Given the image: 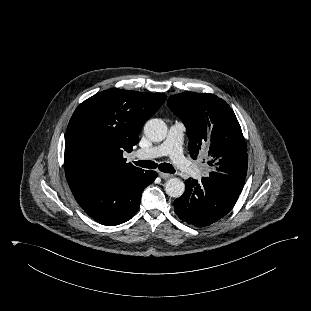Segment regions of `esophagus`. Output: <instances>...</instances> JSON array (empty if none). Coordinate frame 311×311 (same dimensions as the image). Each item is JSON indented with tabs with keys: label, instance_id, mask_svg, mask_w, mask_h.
Segmentation results:
<instances>
[{
	"label": "esophagus",
	"instance_id": "1",
	"mask_svg": "<svg viewBox=\"0 0 311 311\" xmlns=\"http://www.w3.org/2000/svg\"><path fill=\"white\" fill-rule=\"evenodd\" d=\"M159 176L163 179H169L171 177H173L172 174H169V173H164V172H159Z\"/></svg>",
	"mask_w": 311,
	"mask_h": 311
}]
</instances>
